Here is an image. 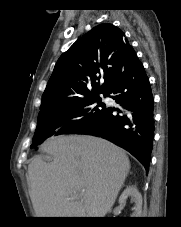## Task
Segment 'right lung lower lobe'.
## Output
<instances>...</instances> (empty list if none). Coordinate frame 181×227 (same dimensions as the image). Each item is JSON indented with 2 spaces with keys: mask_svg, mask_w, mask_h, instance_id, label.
Returning <instances> with one entry per match:
<instances>
[{
  "mask_svg": "<svg viewBox=\"0 0 181 227\" xmlns=\"http://www.w3.org/2000/svg\"><path fill=\"white\" fill-rule=\"evenodd\" d=\"M123 110L113 115L106 108L101 117L77 134L107 139L126 149L149 168L154 138V99L149 79L137 56L131 58L122 75L108 89Z\"/></svg>",
  "mask_w": 181,
  "mask_h": 227,
  "instance_id": "right-lung-lower-lobe-1",
  "label": "right lung lower lobe"
}]
</instances>
